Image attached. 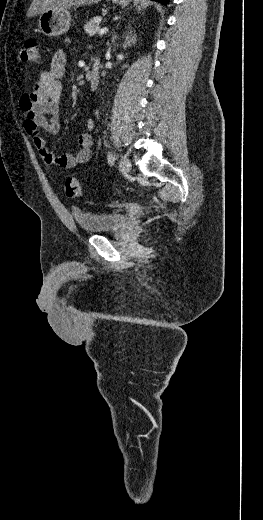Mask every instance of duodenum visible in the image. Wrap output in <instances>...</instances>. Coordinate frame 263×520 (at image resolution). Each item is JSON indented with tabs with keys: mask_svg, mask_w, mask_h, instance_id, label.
<instances>
[{
	"mask_svg": "<svg viewBox=\"0 0 263 520\" xmlns=\"http://www.w3.org/2000/svg\"><path fill=\"white\" fill-rule=\"evenodd\" d=\"M89 85L92 91H96L100 84V73H99V60H94V65L91 71L87 75Z\"/></svg>",
	"mask_w": 263,
	"mask_h": 520,
	"instance_id": "410a0bca",
	"label": "duodenum"
}]
</instances>
